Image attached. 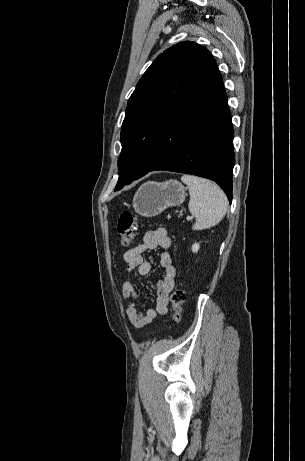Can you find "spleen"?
<instances>
[{"label":"spleen","instance_id":"1","mask_svg":"<svg viewBox=\"0 0 305 461\" xmlns=\"http://www.w3.org/2000/svg\"><path fill=\"white\" fill-rule=\"evenodd\" d=\"M181 181L188 187V208L196 218L193 230H204L217 225L225 216L228 200L223 190L205 178L183 175Z\"/></svg>","mask_w":305,"mask_h":461}]
</instances>
